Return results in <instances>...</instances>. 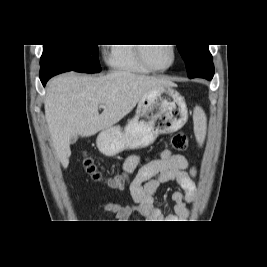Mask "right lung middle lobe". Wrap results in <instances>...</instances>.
Segmentation results:
<instances>
[{"mask_svg":"<svg viewBox=\"0 0 267 267\" xmlns=\"http://www.w3.org/2000/svg\"><path fill=\"white\" fill-rule=\"evenodd\" d=\"M55 64L82 73H98L97 45H44L40 66Z\"/></svg>","mask_w":267,"mask_h":267,"instance_id":"dd1d6c3e","label":"right lung middle lobe"}]
</instances>
